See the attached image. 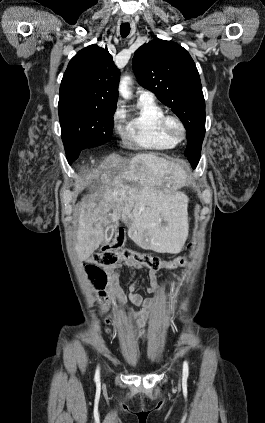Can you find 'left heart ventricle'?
I'll use <instances>...</instances> for the list:
<instances>
[{
	"label": "left heart ventricle",
	"mask_w": 265,
	"mask_h": 423,
	"mask_svg": "<svg viewBox=\"0 0 265 423\" xmlns=\"http://www.w3.org/2000/svg\"><path fill=\"white\" fill-rule=\"evenodd\" d=\"M172 130H173V132L178 133L179 132V127L175 123H173L172 124Z\"/></svg>",
	"instance_id": "left-heart-ventricle-1"
}]
</instances>
